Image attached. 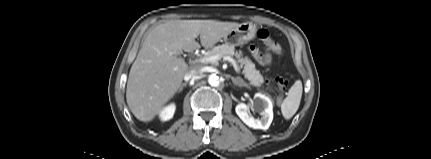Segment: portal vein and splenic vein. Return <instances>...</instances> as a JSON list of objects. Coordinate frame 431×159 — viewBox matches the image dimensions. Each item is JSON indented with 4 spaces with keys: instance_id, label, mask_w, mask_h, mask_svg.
Masks as SVG:
<instances>
[{
    "instance_id": "18ae733b",
    "label": "portal vein and splenic vein",
    "mask_w": 431,
    "mask_h": 159,
    "mask_svg": "<svg viewBox=\"0 0 431 159\" xmlns=\"http://www.w3.org/2000/svg\"><path fill=\"white\" fill-rule=\"evenodd\" d=\"M221 58H223L224 60L229 61L236 72H239V67L236 63V61L230 57V56H224V57H220L219 55H205L204 57H201L199 59H196L197 62H201V63H216L218 60H220Z\"/></svg>"
}]
</instances>
